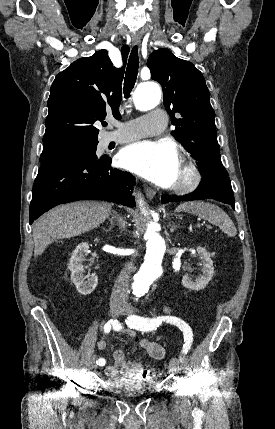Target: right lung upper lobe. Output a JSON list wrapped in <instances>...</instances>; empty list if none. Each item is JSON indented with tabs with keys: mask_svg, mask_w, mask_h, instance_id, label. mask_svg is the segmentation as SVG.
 Returning a JSON list of instances; mask_svg holds the SVG:
<instances>
[{
	"mask_svg": "<svg viewBox=\"0 0 275 429\" xmlns=\"http://www.w3.org/2000/svg\"><path fill=\"white\" fill-rule=\"evenodd\" d=\"M121 52L125 64L129 47L123 46ZM123 76L124 67L115 68L106 50L80 58L60 72L50 89L41 157L98 143L93 124L109 113L121 116Z\"/></svg>",
	"mask_w": 275,
	"mask_h": 429,
	"instance_id": "cb5924a9",
	"label": "right lung upper lobe"
}]
</instances>
